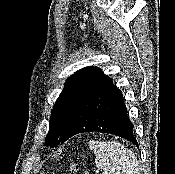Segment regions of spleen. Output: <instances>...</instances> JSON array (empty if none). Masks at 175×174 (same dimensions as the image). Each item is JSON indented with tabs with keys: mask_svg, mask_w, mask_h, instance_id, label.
I'll return each instance as SVG.
<instances>
[{
	"mask_svg": "<svg viewBox=\"0 0 175 174\" xmlns=\"http://www.w3.org/2000/svg\"><path fill=\"white\" fill-rule=\"evenodd\" d=\"M89 148L95 154L96 167L102 174H139L135 154L116 141H90Z\"/></svg>",
	"mask_w": 175,
	"mask_h": 174,
	"instance_id": "spleen-1",
	"label": "spleen"
}]
</instances>
